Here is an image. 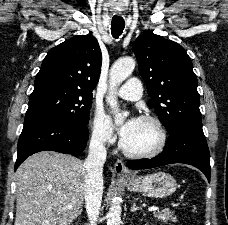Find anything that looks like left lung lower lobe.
<instances>
[{
  "label": "left lung lower lobe",
  "instance_id": "0a47b994",
  "mask_svg": "<svg viewBox=\"0 0 228 225\" xmlns=\"http://www.w3.org/2000/svg\"><path fill=\"white\" fill-rule=\"evenodd\" d=\"M161 154L152 159L129 160L131 169H148L173 163H184L200 169L210 182V154L202 128L181 126L172 129Z\"/></svg>",
  "mask_w": 228,
  "mask_h": 225
}]
</instances>
